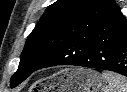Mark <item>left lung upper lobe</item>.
<instances>
[{"label":"left lung upper lobe","mask_w":127,"mask_h":92,"mask_svg":"<svg viewBox=\"0 0 127 92\" xmlns=\"http://www.w3.org/2000/svg\"><path fill=\"white\" fill-rule=\"evenodd\" d=\"M119 9L113 0H58L46 10L28 36L18 70L10 81L16 87L74 36Z\"/></svg>","instance_id":"1"}]
</instances>
